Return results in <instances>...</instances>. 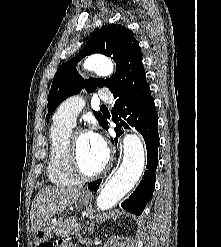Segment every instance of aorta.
<instances>
[{
	"label": "aorta",
	"instance_id": "762f6f07",
	"mask_svg": "<svg viewBox=\"0 0 221 247\" xmlns=\"http://www.w3.org/2000/svg\"><path fill=\"white\" fill-rule=\"evenodd\" d=\"M84 66L100 76H109L114 67L109 58L101 55L89 57ZM144 164L145 152L140 137L134 133H127L123 138L122 163L102 189L97 199L98 208L106 210L114 207L138 182Z\"/></svg>",
	"mask_w": 221,
	"mask_h": 247
}]
</instances>
